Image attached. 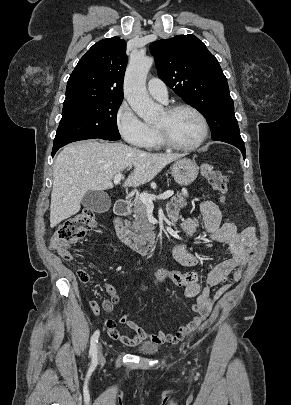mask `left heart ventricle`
<instances>
[{
    "mask_svg": "<svg viewBox=\"0 0 291 405\" xmlns=\"http://www.w3.org/2000/svg\"><path fill=\"white\" fill-rule=\"evenodd\" d=\"M156 126L165 128L171 139L182 145L197 142L202 134V123L198 116L185 109L179 110L172 115H168L163 111Z\"/></svg>",
    "mask_w": 291,
    "mask_h": 405,
    "instance_id": "left-heart-ventricle-1",
    "label": "left heart ventricle"
}]
</instances>
